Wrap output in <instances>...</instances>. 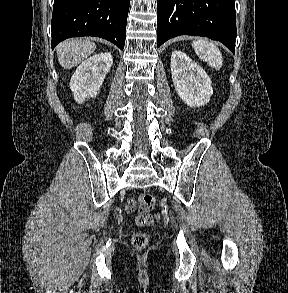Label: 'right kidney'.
Listing matches in <instances>:
<instances>
[{
  "instance_id": "obj_1",
  "label": "right kidney",
  "mask_w": 288,
  "mask_h": 293,
  "mask_svg": "<svg viewBox=\"0 0 288 293\" xmlns=\"http://www.w3.org/2000/svg\"><path fill=\"white\" fill-rule=\"evenodd\" d=\"M112 64L111 53L105 52L96 54L79 65L70 80V89L77 103L96 97Z\"/></svg>"
}]
</instances>
